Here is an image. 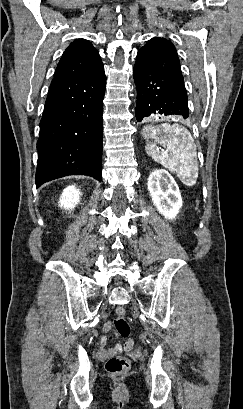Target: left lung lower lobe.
<instances>
[{
    "mask_svg": "<svg viewBox=\"0 0 243 409\" xmlns=\"http://www.w3.org/2000/svg\"><path fill=\"white\" fill-rule=\"evenodd\" d=\"M137 89L136 119L154 115L189 116L188 98L182 79L165 72L135 64Z\"/></svg>",
    "mask_w": 243,
    "mask_h": 409,
    "instance_id": "0a47b994",
    "label": "left lung lower lobe"
}]
</instances>
